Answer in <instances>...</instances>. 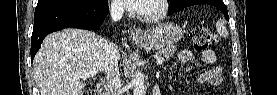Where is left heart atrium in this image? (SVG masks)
<instances>
[{
    "mask_svg": "<svg viewBox=\"0 0 277 95\" xmlns=\"http://www.w3.org/2000/svg\"><path fill=\"white\" fill-rule=\"evenodd\" d=\"M145 1L146 0H120L124 6L132 10H139Z\"/></svg>",
    "mask_w": 277,
    "mask_h": 95,
    "instance_id": "1",
    "label": "left heart atrium"
}]
</instances>
